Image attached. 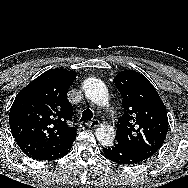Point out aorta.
I'll return each instance as SVG.
<instances>
[{
    "label": "aorta",
    "mask_w": 188,
    "mask_h": 188,
    "mask_svg": "<svg viewBox=\"0 0 188 188\" xmlns=\"http://www.w3.org/2000/svg\"><path fill=\"white\" fill-rule=\"evenodd\" d=\"M83 91L85 96L94 103L106 105L108 102V91L103 83L98 78H88L83 83ZM96 138L104 146L112 144L115 132L112 127L102 125L96 129Z\"/></svg>",
    "instance_id": "762f6f07"
}]
</instances>
